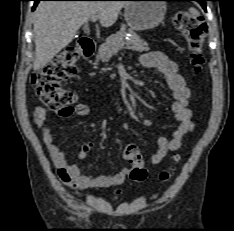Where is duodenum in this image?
Returning <instances> with one entry per match:
<instances>
[{
  "label": "duodenum",
  "mask_w": 234,
  "mask_h": 231,
  "mask_svg": "<svg viewBox=\"0 0 234 231\" xmlns=\"http://www.w3.org/2000/svg\"><path fill=\"white\" fill-rule=\"evenodd\" d=\"M78 48H79L80 53L84 57H90L93 55L96 49V45H95V42L91 40L90 38H83L79 40Z\"/></svg>",
  "instance_id": "obj_1"
}]
</instances>
